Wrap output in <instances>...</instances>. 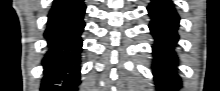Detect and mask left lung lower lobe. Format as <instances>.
<instances>
[{"mask_svg": "<svg viewBox=\"0 0 220 91\" xmlns=\"http://www.w3.org/2000/svg\"><path fill=\"white\" fill-rule=\"evenodd\" d=\"M147 9L152 19L149 28L155 39L152 47L155 85L161 91H174L181 87L175 52L179 16L170 0H152Z\"/></svg>", "mask_w": 220, "mask_h": 91, "instance_id": "left-lung-lower-lobe-1", "label": "left lung lower lobe"}]
</instances>
